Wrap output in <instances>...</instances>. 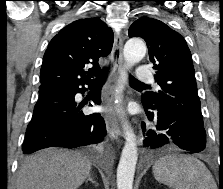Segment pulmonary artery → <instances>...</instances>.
Wrapping results in <instances>:
<instances>
[{
    "label": "pulmonary artery",
    "instance_id": "pulmonary-artery-1",
    "mask_svg": "<svg viewBox=\"0 0 223 189\" xmlns=\"http://www.w3.org/2000/svg\"><path fill=\"white\" fill-rule=\"evenodd\" d=\"M136 79L141 82H150L153 80V74L145 66H140L136 71Z\"/></svg>",
    "mask_w": 223,
    "mask_h": 189
}]
</instances>
